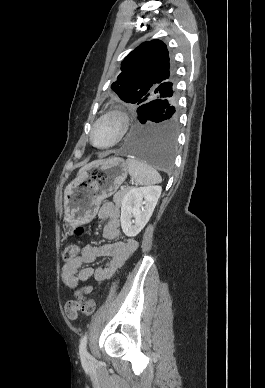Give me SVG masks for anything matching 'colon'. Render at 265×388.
Returning <instances> with one entry per match:
<instances>
[{
    "instance_id": "1",
    "label": "colon",
    "mask_w": 265,
    "mask_h": 388,
    "mask_svg": "<svg viewBox=\"0 0 265 388\" xmlns=\"http://www.w3.org/2000/svg\"><path fill=\"white\" fill-rule=\"evenodd\" d=\"M84 229L82 227L75 228L76 235H81ZM79 247L75 244L68 245L63 253V259L67 262H71L78 257ZM75 300L79 304L81 311L85 314H91L94 311L95 304L91 299L84 297L80 292L75 293Z\"/></svg>"
}]
</instances>
